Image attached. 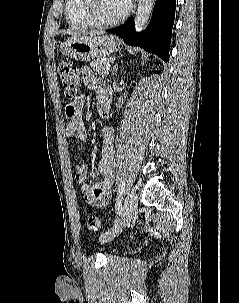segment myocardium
I'll return each instance as SVG.
<instances>
[{"instance_id":"1","label":"myocardium","mask_w":239,"mask_h":303,"mask_svg":"<svg viewBox=\"0 0 239 303\" xmlns=\"http://www.w3.org/2000/svg\"><path fill=\"white\" fill-rule=\"evenodd\" d=\"M99 0H85L84 10L90 21L98 27L115 26L123 22L130 12V6L114 19H103L99 14Z\"/></svg>"}]
</instances>
